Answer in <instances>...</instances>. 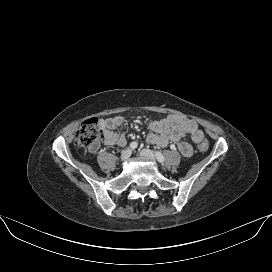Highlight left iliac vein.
Wrapping results in <instances>:
<instances>
[{
  "label": "left iliac vein",
  "instance_id": "obj_1",
  "mask_svg": "<svg viewBox=\"0 0 272 272\" xmlns=\"http://www.w3.org/2000/svg\"><path fill=\"white\" fill-rule=\"evenodd\" d=\"M141 156L145 159H149L151 161H155V154L149 149H143L140 152Z\"/></svg>",
  "mask_w": 272,
  "mask_h": 272
}]
</instances>
